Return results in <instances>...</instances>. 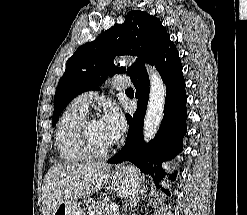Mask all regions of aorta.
Returning <instances> with one entry per match:
<instances>
[{
	"label": "aorta",
	"mask_w": 247,
	"mask_h": 215,
	"mask_svg": "<svg viewBox=\"0 0 247 215\" xmlns=\"http://www.w3.org/2000/svg\"><path fill=\"white\" fill-rule=\"evenodd\" d=\"M135 61V58L122 57L120 63L125 61ZM146 69L150 78V93L147 112L144 119V141L148 143L153 139L159 130L166 101V86L155 68L146 65Z\"/></svg>",
	"instance_id": "762f6f07"
}]
</instances>
